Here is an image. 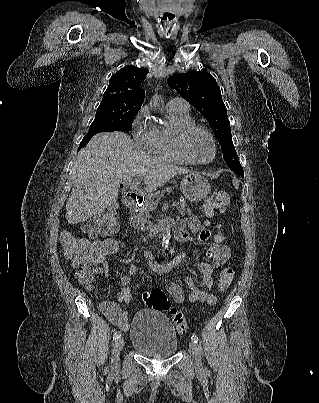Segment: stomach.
<instances>
[{"label": "stomach", "instance_id": "obj_1", "mask_svg": "<svg viewBox=\"0 0 319 403\" xmlns=\"http://www.w3.org/2000/svg\"><path fill=\"white\" fill-rule=\"evenodd\" d=\"M181 191L187 200L197 202L210 194L211 187L208 180L203 176L189 174L181 181Z\"/></svg>", "mask_w": 319, "mask_h": 403}]
</instances>
